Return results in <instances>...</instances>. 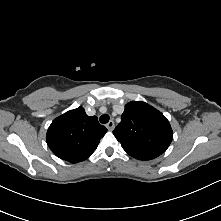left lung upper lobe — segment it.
<instances>
[{"label": "left lung upper lobe", "instance_id": "left-lung-upper-lobe-1", "mask_svg": "<svg viewBox=\"0 0 221 221\" xmlns=\"http://www.w3.org/2000/svg\"><path fill=\"white\" fill-rule=\"evenodd\" d=\"M122 148L139 160H151L166 151L173 132L157 109L142 101L126 104L121 122L113 131Z\"/></svg>", "mask_w": 221, "mask_h": 221}]
</instances>
